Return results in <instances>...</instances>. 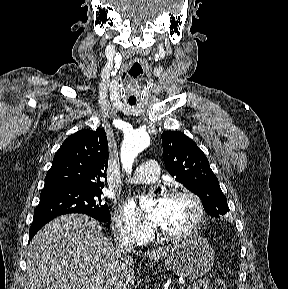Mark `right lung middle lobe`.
I'll return each instance as SVG.
<instances>
[{"mask_svg": "<svg viewBox=\"0 0 288 289\" xmlns=\"http://www.w3.org/2000/svg\"><path fill=\"white\" fill-rule=\"evenodd\" d=\"M101 195L100 187L44 188L40 194V202L34 211V218L82 213L107 222L110 220V211L108 205L102 202Z\"/></svg>", "mask_w": 288, "mask_h": 289, "instance_id": "obj_1", "label": "right lung middle lobe"}]
</instances>
